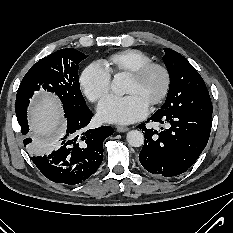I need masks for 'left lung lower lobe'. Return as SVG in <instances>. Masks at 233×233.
Listing matches in <instances>:
<instances>
[{
    "label": "left lung lower lobe",
    "mask_w": 233,
    "mask_h": 233,
    "mask_svg": "<svg viewBox=\"0 0 233 233\" xmlns=\"http://www.w3.org/2000/svg\"><path fill=\"white\" fill-rule=\"evenodd\" d=\"M167 123L160 132L138 125L145 141L139 154L142 166L150 173L172 177L190 168L206 147L212 119L187 111H156L147 122Z\"/></svg>",
    "instance_id": "left-lung-lower-lobe-1"
}]
</instances>
